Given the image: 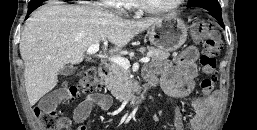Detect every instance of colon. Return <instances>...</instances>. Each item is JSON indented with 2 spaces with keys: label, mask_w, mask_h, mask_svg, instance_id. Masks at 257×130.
<instances>
[{
  "label": "colon",
  "mask_w": 257,
  "mask_h": 130,
  "mask_svg": "<svg viewBox=\"0 0 257 130\" xmlns=\"http://www.w3.org/2000/svg\"><path fill=\"white\" fill-rule=\"evenodd\" d=\"M193 37L202 42L203 48L200 56L202 72L206 75L200 87L202 94L209 96L216 84L217 56L222 49V42L211 24L203 19L194 18L191 25ZM101 88V77L94 68H87L77 75V84L64 87L59 92L63 103L72 101L80 92H95ZM36 117L43 130H70L69 122L55 107H38Z\"/></svg>",
  "instance_id": "1"
}]
</instances>
